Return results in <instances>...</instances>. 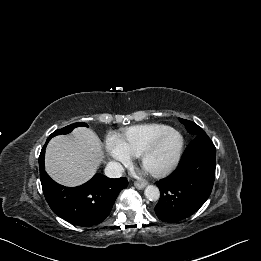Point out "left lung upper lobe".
<instances>
[{"label":"left lung upper lobe","mask_w":261,"mask_h":261,"mask_svg":"<svg viewBox=\"0 0 261 261\" xmlns=\"http://www.w3.org/2000/svg\"><path fill=\"white\" fill-rule=\"evenodd\" d=\"M180 122L185 125L187 131L195 137L201 133H205L204 130L199 127L196 123L179 118Z\"/></svg>","instance_id":"1"}]
</instances>
